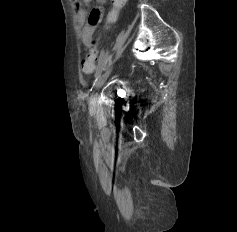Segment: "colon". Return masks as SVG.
<instances>
[{
  "mask_svg": "<svg viewBox=\"0 0 237 232\" xmlns=\"http://www.w3.org/2000/svg\"><path fill=\"white\" fill-rule=\"evenodd\" d=\"M128 0H111L112 7L107 15V25L113 24L117 21L121 10L124 8ZM92 48L89 50V53L81 61V71L83 74H91L96 66L97 58V46L99 41L97 38H93L91 41Z\"/></svg>",
  "mask_w": 237,
  "mask_h": 232,
  "instance_id": "5ec220e1",
  "label": "colon"
}]
</instances>
